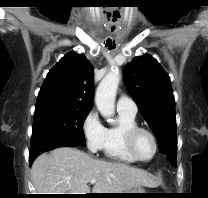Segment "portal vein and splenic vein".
Returning a JSON list of instances; mask_svg holds the SVG:
<instances>
[{"instance_id": "1", "label": "portal vein and splenic vein", "mask_w": 208, "mask_h": 198, "mask_svg": "<svg viewBox=\"0 0 208 198\" xmlns=\"http://www.w3.org/2000/svg\"><path fill=\"white\" fill-rule=\"evenodd\" d=\"M95 182H96L95 179H92V180L90 181L91 184H95Z\"/></svg>"}]
</instances>
